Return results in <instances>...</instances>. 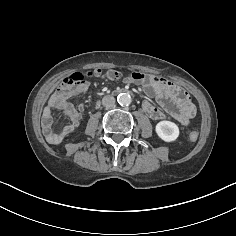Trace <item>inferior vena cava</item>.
<instances>
[{
  "instance_id": "inferior-vena-cava-1",
  "label": "inferior vena cava",
  "mask_w": 236,
  "mask_h": 236,
  "mask_svg": "<svg viewBox=\"0 0 236 236\" xmlns=\"http://www.w3.org/2000/svg\"><path fill=\"white\" fill-rule=\"evenodd\" d=\"M102 104L106 108H111L115 105V98L111 95L104 96L102 99Z\"/></svg>"
}]
</instances>
